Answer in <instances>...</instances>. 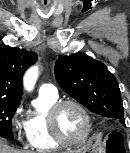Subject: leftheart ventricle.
<instances>
[{"label": "left heart ventricle", "instance_id": "left-heart-ventricle-1", "mask_svg": "<svg viewBox=\"0 0 130 153\" xmlns=\"http://www.w3.org/2000/svg\"><path fill=\"white\" fill-rule=\"evenodd\" d=\"M58 126L61 134L69 140L79 139L85 130L82 113L74 106H64L58 115Z\"/></svg>", "mask_w": 130, "mask_h": 153}]
</instances>
